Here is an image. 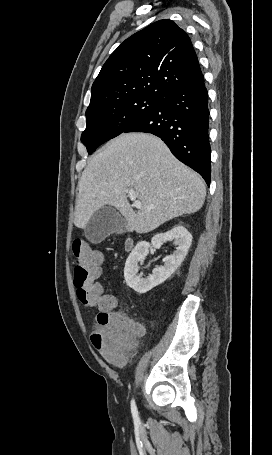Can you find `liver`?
<instances>
[{"label": "liver", "mask_w": 272, "mask_h": 455, "mask_svg": "<svg viewBox=\"0 0 272 455\" xmlns=\"http://www.w3.org/2000/svg\"><path fill=\"white\" fill-rule=\"evenodd\" d=\"M78 188L76 227L85 229L96 211L110 205L124 217L126 230L139 234L199 211L206 196L202 178L146 133H123L109 141L89 160ZM130 191L142 204L137 212L127 199Z\"/></svg>", "instance_id": "6515ba94"}]
</instances>
